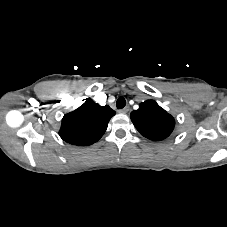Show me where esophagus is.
Segmentation results:
<instances>
[{
	"instance_id": "34e87169",
	"label": "esophagus",
	"mask_w": 227,
	"mask_h": 227,
	"mask_svg": "<svg viewBox=\"0 0 227 227\" xmlns=\"http://www.w3.org/2000/svg\"><path fill=\"white\" fill-rule=\"evenodd\" d=\"M129 111V106L124 107L123 109H120L119 112L122 114H126Z\"/></svg>"
}]
</instances>
